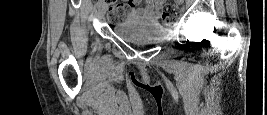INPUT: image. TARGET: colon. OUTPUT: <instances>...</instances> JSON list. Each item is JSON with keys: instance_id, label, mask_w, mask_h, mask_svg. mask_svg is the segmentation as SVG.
<instances>
[{"instance_id": "obj_1", "label": "colon", "mask_w": 267, "mask_h": 115, "mask_svg": "<svg viewBox=\"0 0 267 115\" xmlns=\"http://www.w3.org/2000/svg\"><path fill=\"white\" fill-rule=\"evenodd\" d=\"M130 13V5L117 3L112 5L107 13V18L112 23L123 21ZM162 18L166 21H174L179 18L180 10L175 4H165L161 8Z\"/></svg>"}]
</instances>
